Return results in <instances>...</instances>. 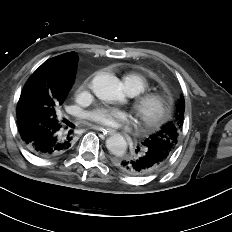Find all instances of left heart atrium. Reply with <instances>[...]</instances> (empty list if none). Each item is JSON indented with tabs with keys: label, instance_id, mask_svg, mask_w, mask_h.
Returning a JSON list of instances; mask_svg holds the SVG:
<instances>
[{
	"label": "left heart atrium",
	"instance_id": "obj_1",
	"mask_svg": "<svg viewBox=\"0 0 232 232\" xmlns=\"http://www.w3.org/2000/svg\"><path fill=\"white\" fill-rule=\"evenodd\" d=\"M89 118L93 122L109 128L119 127L129 121V116L126 112L115 108L97 109L89 115Z\"/></svg>",
	"mask_w": 232,
	"mask_h": 232
}]
</instances>
